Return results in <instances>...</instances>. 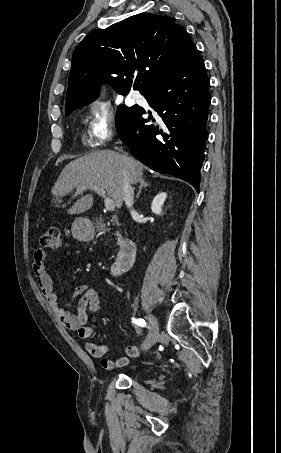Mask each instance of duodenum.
<instances>
[{"instance_id":"410a0bca","label":"duodenum","mask_w":281,"mask_h":453,"mask_svg":"<svg viewBox=\"0 0 281 453\" xmlns=\"http://www.w3.org/2000/svg\"><path fill=\"white\" fill-rule=\"evenodd\" d=\"M137 247L134 241L123 238L119 243V252L111 268V274L118 276L127 271L136 257Z\"/></svg>"}]
</instances>
